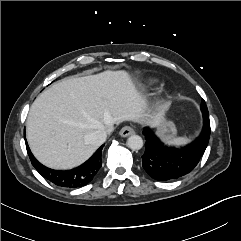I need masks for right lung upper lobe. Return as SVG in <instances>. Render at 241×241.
<instances>
[{
  "instance_id": "cb5924a9",
  "label": "right lung upper lobe",
  "mask_w": 241,
  "mask_h": 241,
  "mask_svg": "<svg viewBox=\"0 0 241 241\" xmlns=\"http://www.w3.org/2000/svg\"><path fill=\"white\" fill-rule=\"evenodd\" d=\"M48 179H49V178H48ZM51 182H53L54 184L58 185L56 181H51ZM58 186H59V185H58Z\"/></svg>"
}]
</instances>
